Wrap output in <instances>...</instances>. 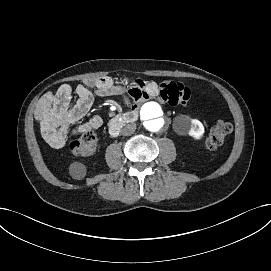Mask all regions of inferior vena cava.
<instances>
[{
	"mask_svg": "<svg viewBox=\"0 0 271 271\" xmlns=\"http://www.w3.org/2000/svg\"><path fill=\"white\" fill-rule=\"evenodd\" d=\"M127 128H129V129H130V125H127V126L125 127V129H127Z\"/></svg>",
	"mask_w": 271,
	"mask_h": 271,
	"instance_id": "inferior-vena-cava-1",
	"label": "inferior vena cava"
}]
</instances>
